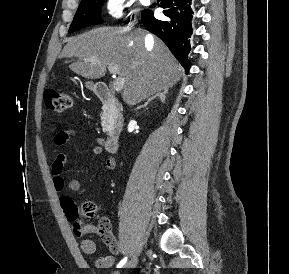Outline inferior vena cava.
<instances>
[{"mask_svg": "<svg viewBox=\"0 0 289 274\" xmlns=\"http://www.w3.org/2000/svg\"><path fill=\"white\" fill-rule=\"evenodd\" d=\"M145 41L146 42L153 41V37L151 35H146Z\"/></svg>", "mask_w": 289, "mask_h": 274, "instance_id": "1", "label": "inferior vena cava"}]
</instances>
